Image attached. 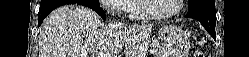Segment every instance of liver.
<instances>
[{
	"instance_id": "1",
	"label": "liver",
	"mask_w": 249,
	"mask_h": 57,
	"mask_svg": "<svg viewBox=\"0 0 249 57\" xmlns=\"http://www.w3.org/2000/svg\"><path fill=\"white\" fill-rule=\"evenodd\" d=\"M152 26L104 24L92 9L65 5L55 9L39 29V57H145ZM110 55V56H109Z\"/></svg>"
}]
</instances>
